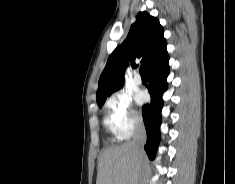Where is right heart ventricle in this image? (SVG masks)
Masks as SVG:
<instances>
[{"instance_id": "obj_1", "label": "right heart ventricle", "mask_w": 235, "mask_h": 184, "mask_svg": "<svg viewBox=\"0 0 235 184\" xmlns=\"http://www.w3.org/2000/svg\"><path fill=\"white\" fill-rule=\"evenodd\" d=\"M118 148H119V145L114 143V142H112L110 147H109V151L107 152V156H111L114 153H116Z\"/></svg>"}]
</instances>
